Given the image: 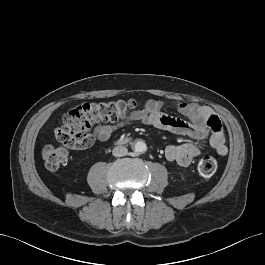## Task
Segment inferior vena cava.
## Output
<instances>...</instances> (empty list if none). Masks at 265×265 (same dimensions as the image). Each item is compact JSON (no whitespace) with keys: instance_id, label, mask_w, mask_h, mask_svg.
Here are the masks:
<instances>
[{"instance_id":"602c4592","label":"inferior vena cava","mask_w":265,"mask_h":265,"mask_svg":"<svg viewBox=\"0 0 265 265\" xmlns=\"http://www.w3.org/2000/svg\"><path fill=\"white\" fill-rule=\"evenodd\" d=\"M127 153H128V149L121 145L114 147L112 151V154L115 157H122V156L127 155Z\"/></svg>"}]
</instances>
